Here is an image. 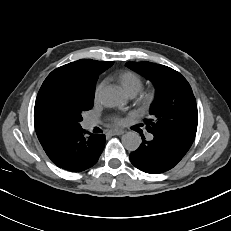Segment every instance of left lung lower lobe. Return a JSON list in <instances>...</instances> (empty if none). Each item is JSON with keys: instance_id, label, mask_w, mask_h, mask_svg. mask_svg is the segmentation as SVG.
Wrapping results in <instances>:
<instances>
[{"instance_id": "0a47b994", "label": "left lung lower lobe", "mask_w": 231, "mask_h": 231, "mask_svg": "<svg viewBox=\"0 0 231 231\" xmlns=\"http://www.w3.org/2000/svg\"><path fill=\"white\" fill-rule=\"evenodd\" d=\"M152 134V140L142 138L139 148L130 154L131 163L145 173L160 174L172 169L193 143L185 138Z\"/></svg>"}]
</instances>
